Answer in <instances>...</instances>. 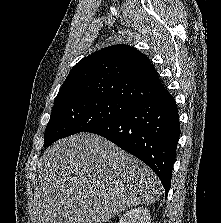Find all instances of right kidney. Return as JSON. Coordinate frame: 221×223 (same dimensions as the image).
<instances>
[{
    "mask_svg": "<svg viewBox=\"0 0 221 223\" xmlns=\"http://www.w3.org/2000/svg\"><path fill=\"white\" fill-rule=\"evenodd\" d=\"M150 213L144 208H133L120 218L118 223H150Z\"/></svg>",
    "mask_w": 221,
    "mask_h": 223,
    "instance_id": "1",
    "label": "right kidney"
}]
</instances>
